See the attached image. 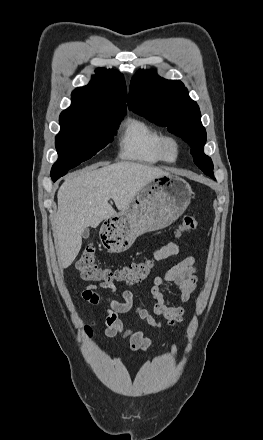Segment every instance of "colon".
<instances>
[{
	"label": "colon",
	"mask_w": 263,
	"mask_h": 440,
	"mask_svg": "<svg viewBox=\"0 0 263 440\" xmlns=\"http://www.w3.org/2000/svg\"><path fill=\"white\" fill-rule=\"evenodd\" d=\"M198 222L195 217L185 215L177 229V235L196 229ZM154 264L151 260L133 262L121 267L112 268L101 266L97 262L96 248L92 243H88L78 261L76 268L84 280L105 283L109 286L116 284L134 285L143 281L153 270ZM87 333L91 334V328L87 327Z\"/></svg>",
	"instance_id": "colon-1"
}]
</instances>
